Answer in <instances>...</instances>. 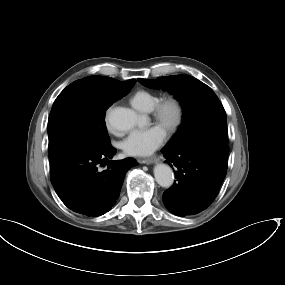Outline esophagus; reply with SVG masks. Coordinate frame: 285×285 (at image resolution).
Segmentation results:
<instances>
[{"mask_svg":"<svg viewBox=\"0 0 285 285\" xmlns=\"http://www.w3.org/2000/svg\"><path fill=\"white\" fill-rule=\"evenodd\" d=\"M159 157H150V158H145V159H138V162L142 164H153L159 162Z\"/></svg>","mask_w":285,"mask_h":285,"instance_id":"esophagus-1","label":"esophagus"}]
</instances>
